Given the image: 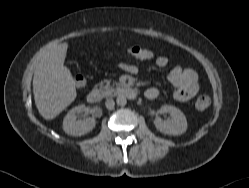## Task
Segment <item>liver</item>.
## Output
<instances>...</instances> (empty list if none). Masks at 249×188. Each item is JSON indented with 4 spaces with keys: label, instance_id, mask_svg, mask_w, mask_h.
<instances>
[{
    "label": "liver",
    "instance_id": "liver-1",
    "mask_svg": "<svg viewBox=\"0 0 249 188\" xmlns=\"http://www.w3.org/2000/svg\"><path fill=\"white\" fill-rule=\"evenodd\" d=\"M67 50V42L51 48L34 72L35 104L41 116L47 120L59 115L77 96L73 76L64 66Z\"/></svg>",
    "mask_w": 249,
    "mask_h": 188
}]
</instances>
